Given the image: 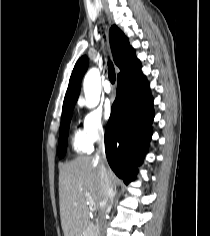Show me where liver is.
I'll use <instances>...</instances> for the list:
<instances>
[{
  "mask_svg": "<svg viewBox=\"0 0 210 236\" xmlns=\"http://www.w3.org/2000/svg\"><path fill=\"white\" fill-rule=\"evenodd\" d=\"M107 171L114 182L113 172L109 168ZM102 197L100 166L94 158L78 157L60 167L59 202L64 236H82L88 220V203L98 207Z\"/></svg>",
  "mask_w": 210,
  "mask_h": 236,
  "instance_id": "1",
  "label": "liver"
}]
</instances>
